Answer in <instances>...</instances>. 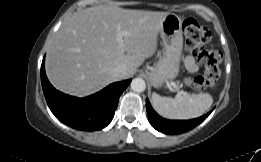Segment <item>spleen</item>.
<instances>
[{
    "label": "spleen",
    "instance_id": "spleen-1",
    "mask_svg": "<svg viewBox=\"0 0 261 162\" xmlns=\"http://www.w3.org/2000/svg\"><path fill=\"white\" fill-rule=\"evenodd\" d=\"M155 110L169 119H191L203 115L212 105L213 98L208 93L178 94L175 98L152 94Z\"/></svg>",
    "mask_w": 261,
    "mask_h": 162
}]
</instances>
